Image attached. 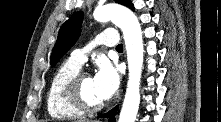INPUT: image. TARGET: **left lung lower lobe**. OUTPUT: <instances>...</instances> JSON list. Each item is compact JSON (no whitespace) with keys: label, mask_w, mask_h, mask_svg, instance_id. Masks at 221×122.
Segmentation results:
<instances>
[{"label":"left lung lower lobe","mask_w":221,"mask_h":122,"mask_svg":"<svg viewBox=\"0 0 221 122\" xmlns=\"http://www.w3.org/2000/svg\"><path fill=\"white\" fill-rule=\"evenodd\" d=\"M134 10V9H133ZM116 111H117V106L114 107L112 110H110L109 112L103 114L101 117L102 118H109L110 119V122H115V114H116Z\"/></svg>","instance_id":"1"}]
</instances>
